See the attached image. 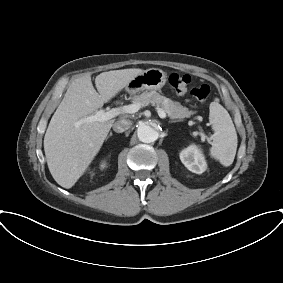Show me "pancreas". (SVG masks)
<instances>
[{
  "label": "pancreas",
  "mask_w": 283,
  "mask_h": 283,
  "mask_svg": "<svg viewBox=\"0 0 283 283\" xmlns=\"http://www.w3.org/2000/svg\"><path fill=\"white\" fill-rule=\"evenodd\" d=\"M132 101L133 103H140L142 106L149 104L160 106L171 119H178L177 121H181L183 118H189L196 113L155 91L143 92L141 95L135 96Z\"/></svg>",
  "instance_id": "pancreas-1"
}]
</instances>
